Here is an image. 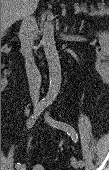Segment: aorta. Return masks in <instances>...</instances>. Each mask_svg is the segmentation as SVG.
<instances>
[{"label": "aorta", "instance_id": "obj_1", "mask_svg": "<svg viewBox=\"0 0 109 170\" xmlns=\"http://www.w3.org/2000/svg\"><path fill=\"white\" fill-rule=\"evenodd\" d=\"M42 44L49 67L50 85L45 101L53 103L61 86V65L54 39V26L51 22L45 21L42 28Z\"/></svg>", "mask_w": 109, "mask_h": 170}]
</instances>
